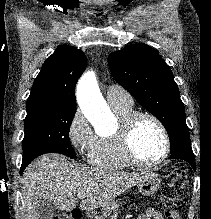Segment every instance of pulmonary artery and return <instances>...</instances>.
<instances>
[{
    "instance_id": "e3ab8cb5",
    "label": "pulmonary artery",
    "mask_w": 211,
    "mask_h": 219,
    "mask_svg": "<svg viewBox=\"0 0 211 219\" xmlns=\"http://www.w3.org/2000/svg\"><path fill=\"white\" fill-rule=\"evenodd\" d=\"M106 99L110 105H131L132 97L122 87L111 85L106 92Z\"/></svg>"
}]
</instances>
